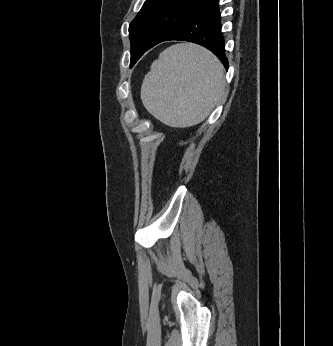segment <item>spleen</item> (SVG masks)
<instances>
[{
    "mask_svg": "<svg viewBox=\"0 0 333 346\" xmlns=\"http://www.w3.org/2000/svg\"><path fill=\"white\" fill-rule=\"evenodd\" d=\"M221 62L195 44L172 45L151 65L141 87L145 108L174 127H189L207 118L223 96Z\"/></svg>",
    "mask_w": 333,
    "mask_h": 346,
    "instance_id": "3e777b00",
    "label": "spleen"
}]
</instances>
